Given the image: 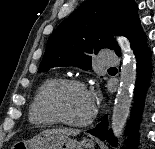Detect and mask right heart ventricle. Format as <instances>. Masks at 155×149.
<instances>
[{"mask_svg": "<svg viewBox=\"0 0 155 149\" xmlns=\"http://www.w3.org/2000/svg\"><path fill=\"white\" fill-rule=\"evenodd\" d=\"M58 77H49L37 88L29 105V122L35 126L49 127L57 123L46 110L44 97L48 88L58 81Z\"/></svg>", "mask_w": 155, "mask_h": 149, "instance_id": "1", "label": "right heart ventricle"}]
</instances>
